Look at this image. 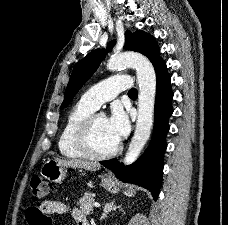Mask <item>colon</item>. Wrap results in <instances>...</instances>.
<instances>
[{
    "mask_svg": "<svg viewBox=\"0 0 228 225\" xmlns=\"http://www.w3.org/2000/svg\"><path fill=\"white\" fill-rule=\"evenodd\" d=\"M49 183L40 176H34L30 182V192L34 202H40L43 197L48 195L50 188Z\"/></svg>",
    "mask_w": 228,
    "mask_h": 225,
    "instance_id": "5ec220e1",
    "label": "colon"
}]
</instances>
